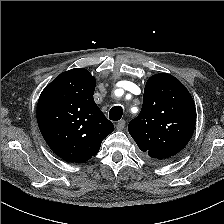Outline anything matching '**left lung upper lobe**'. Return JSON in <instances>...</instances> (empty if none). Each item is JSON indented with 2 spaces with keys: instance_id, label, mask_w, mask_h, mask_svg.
<instances>
[{
  "instance_id": "left-lung-upper-lobe-1",
  "label": "left lung upper lobe",
  "mask_w": 224,
  "mask_h": 224,
  "mask_svg": "<svg viewBox=\"0 0 224 224\" xmlns=\"http://www.w3.org/2000/svg\"><path fill=\"white\" fill-rule=\"evenodd\" d=\"M195 124L196 108L186 87L159 73L146 83L142 109L128 130L149 161L167 163L187 145Z\"/></svg>"
}]
</instances>
